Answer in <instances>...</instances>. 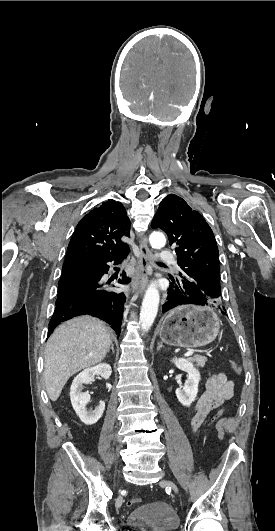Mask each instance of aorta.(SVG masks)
Wrapping results in <instances>:
<instances>
[{
  "instance_id": "1",
  "label": "aorta",
  "mask_w": 275,
  "mask_h": 531,
  "mask_svg": "<svg viewBox=\"0 0 275 531\" xmlns=\"http://www.w3.org/2000/svg\"><path fill=\"white\" fill-rule=\"evenodd\" d=\"M149 243L152 249H162L166 243V239L162 233H151ZM159 301L160 295L157 285H155V283H151L144 295L140 311V325L144 333H147V331L151 329L156 319Z\"/></svg>"
}]
</instances>
